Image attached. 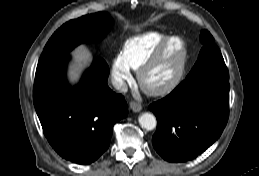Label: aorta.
<instances>
[{"label": "aorta", "mask_w": 259, "mask_h": 176, "mask_svg": "<svg viewBox=\"0 0 259 176\" xmlns=\"http://www.w3.org/2000/svg\"><path fill=\"white\" fill-rule=\"evenodd\" d=\"M138 120H139L140 126L146 130H153L157 125L156 118L151 113L146 112L141 114Z\"/></svg>", "instance_id": "obj_1"}]
</instances>
